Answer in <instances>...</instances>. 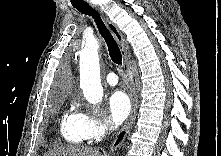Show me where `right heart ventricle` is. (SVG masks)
I'll return each instance as SVG.
<instances>
[{"instance_id":"1","label":"right heart ventricle","mask_w":221,"mask_h":156,"mask_svg":"<svg viewBox=\"0 0 221 156\" xmlns=\"http://www.w3.org/2000/svg\"><path fill=\"white\" fill-rule=\"evenodd\" d=\"M60 131L65 141L70 144L79 145L85 141L77 114L66 112L61 120Z\"/></svg>"}]
</instances>
